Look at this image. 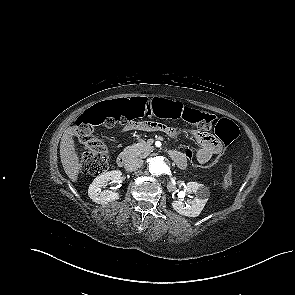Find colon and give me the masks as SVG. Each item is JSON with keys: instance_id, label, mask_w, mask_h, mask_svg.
Instances as JSON below:
<instances>
[{"instance_id": "colon-1", "label": "colon", "mask_w": 295, "mask_h": 295, "mask_svg": "<svg viewBox=\"0 0 295 295\" xmlns=\"http://www.w3.org/2000/svg\"><path fill=\"white\" fill-rule=\"evenodd\" d=\"M145 115L163 119H180L201 130H210L214 126L217 137L222 140V147L208 162H199L194 157L195 151L193 149L191 150L189 147L184 149V155L194 169H212L226 156L229 151V143L239 135V129L232 121L224 118L215 123V116L183 106L179 102L165 99L149 101L143 98L105 102L86 110L75 122L74 133L85 146V151L80 157L82 171L90 176H98L108 168L107 147L95 136V126L113 127L117 124H129L133 123L134 119ZM155 125L162 131L166 128L158 123ZM232 182L233 170L229 167L225 171L221 185L227 189L232 185Z\"/></svg>"}]
</instances>
